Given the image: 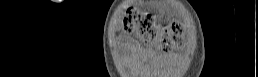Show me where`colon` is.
<instances>
[{
    "instance_id": "5ec220e1",
    "label": "colon",
    "mask_w": 258,
    "mask_h": 77,
    "mask_svg": "<svg viewBox=\"0 0 258 77\" xmlns=\"http://www.w3.org/2000/svg\"><path fill=\"white\" fill-rule=\"evenodd\" d=\"M123 27L138 35L145 44L156 45L166 51L181 39L182 27L179 24L160 25L151 14H141L134 9L126 11Z\"/></svg>"
}]
</instances>
